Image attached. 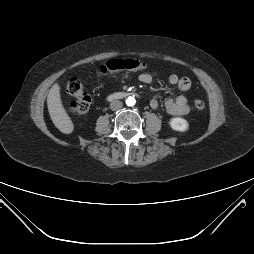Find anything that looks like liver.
I'll return each instance as SVG.
<instances>
[{
  "label": "liver",
  "instance_id": "liver-1",
  "mask_svg": "<svg viewBox=\"0 0 254 254\" xmlns=\"http://www.w3.org/2000/svg\"><path fill=\"white\" fill-rule=\"evenodd\" d=\"M47 106L51 120L56 128L64 134L72 133L74 124L62 104L60 86L58 83H55L49 90Z\"/></svg>",
  "mask_w": 254,
  "mask_h": 254
}]
</instances>
